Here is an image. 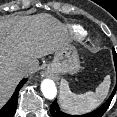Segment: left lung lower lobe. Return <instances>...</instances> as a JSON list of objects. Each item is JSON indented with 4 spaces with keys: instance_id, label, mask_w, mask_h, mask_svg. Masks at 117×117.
I'll use <instances>...</instances> for the list:
<instances>
[{
    "instance_id": "1",
    "label": "left lung lower lobe",
    "mask_w": 117,
    "mask_h": 117,
    "mask_svg": "<svg viewBox=\"0 0 117 117\" xmlns=\"http://www.w3.org/2000/svg\"><path fill=\"white\" fill-rule=\"evenodd\" d=\"M114 64H115V69H116V74H117V60L114 61ZM116 89H117V82H116V85H115L113 92L111 93L109 98L106 100V102L103 105H101L99 108H97L96 110H94L88 114L79 115V116L66 114L60 110V108L55 100L52 103V105L50 106L51 115H52V117H102V115L108 109V107L111 103V100L116 92Z\"/></svg>"
}]
</instances>
